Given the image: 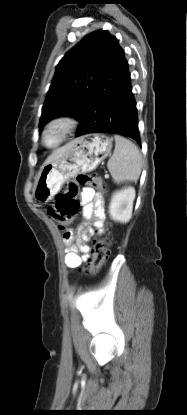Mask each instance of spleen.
<instances>
[{
	"instance_id": "obj_1",
	"label": "spleen",
	"mask_w": 187,
	"mask_h": 415,
	"mask_svg": "<svg viewBox=\"0 0 187 415\" xmlns=\"http://www.w3.org/2000/svg\"><path fill=\"white\" fill-rule=\"evenodd\" d=\"M115 149L107 163L108 170L115 183L137 181L142 169V155L130 140L115 135Z\"/></svg>"
}]
</instances>
